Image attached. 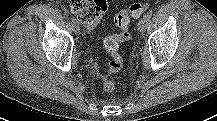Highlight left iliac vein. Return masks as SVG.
<instances>
[{"label":"left iliac vein","instance_id":"1","mask_svg":"<svg viewBox=\"0 0 217 121\" xmlns=\"http://www.w3.org/2000/svg\"><path fill=\"white\" fill-rule=\"evenodd\" d=\"M147 26V20L142 18L139 20L138 24H137V28L140 32H143L146 29Z\"/></svg>","mask_w":217,"mask_h":121}]
</instances>
